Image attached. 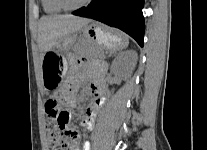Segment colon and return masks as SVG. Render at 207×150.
I'll list each match as a JSON object with an SVG mask.
<instances>
[{
    "label": "colon",
    "instance_id": "obj_1",
    "mask_svg": "<svg viewBox=\"0 0 207 150\" xmlns=\"http://www.w3.org/2000/svg\"><path fill=\"white\" fill-rule=\"evenodd\" d=\"M45 109L48 116L46 137L50 150L71 149L70 139L74 133L66 129L69 112L61 107L57 98L48 99Z\"/></svg>",
    "mask_w": 207,
    "mask_h": 150
}]
</instances>
